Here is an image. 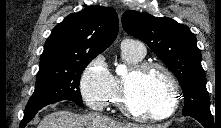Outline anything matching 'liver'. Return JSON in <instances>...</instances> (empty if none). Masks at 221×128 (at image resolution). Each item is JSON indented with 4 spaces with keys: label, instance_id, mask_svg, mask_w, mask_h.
Returning <instances> with one entry per match:
<instances>
[{
    "label": "liver",
    "instance_id": "6515ba94",
    "mask_svg": "<svg viewBox=\"0 0 221 128\" xmlns=\"http://www.w3.org/2000/svg\"><path fill=\"white\" fill-rule=\"evenodd\" d=\"M164 125L119 123L106 116L92 112L86 115L70 111H56L45 116L37 128H167Z\"/></svg>",
    "mask_w": 221,
    "mask_h": 128
}]
</instances>
